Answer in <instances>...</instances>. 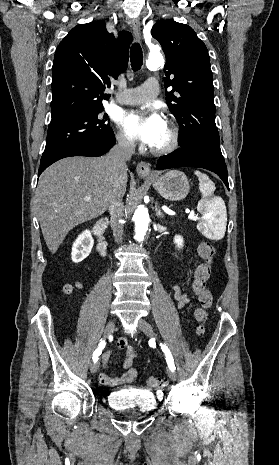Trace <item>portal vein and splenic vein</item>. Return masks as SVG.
Wrapping results in <instances>:
<instances>
[{"label": "portal vein and splenic vein", "instance_id": "obj_1", "mask_svg": "<svg viewBox=\"0 0 279 465\" xmlns=\"http://www.w3.org/2000/svg\"><path fill=\"white\" fill-rule=\"evenodd\" d=\"M85 200H86V201H89V200H90V197H86ZM188 219H190V220H197L198 217L195 216L194 212H191V213L189 214V216H188Z\"/></svg>", "mask_w": 279, "mask_h": 465}]
</instances>
